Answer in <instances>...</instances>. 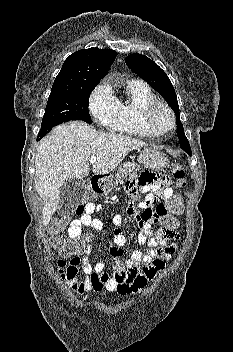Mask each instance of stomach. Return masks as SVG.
I'll return each instance as SVG.
<instances>
[{"mask_svg": "<svg viewBox=\"0 0 233 352\" xmlns=\"http://www.w3.org/2000/svg\"><path fill=\"white\" fill-rule=\"evenodd\" d=\"M139 161L147 168L151 169H161L166 167L168 160L166 156L155 148L144 149L139 155ZM104 186L103 190L105 193H108L111 190V185L113 182V177H104Z\"/></svg>", "mask_w": 233, "mask_h": 352, "instance_id": "obj_1", "label": "stomach"}]
</instances>
